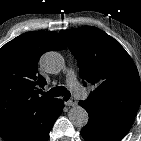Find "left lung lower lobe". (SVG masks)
<instances>
[{
	"instance_id": "0a47b994",
	"label": "left lung lower lobe",
	"mask_w": 141,
	"mask_h": 141,
	"mask_svg": "<svg viewBox=\"0 0 141 141\" xmlns=\"http://www.w3.org/2000/svg\"><path fill=\"white\" fill-rule=\"evenodd\" d=\"M79 104L89 114V121L81 130L86 141H120L132 126L133 117H112Z\"/></svg>"
}]
</instances>
